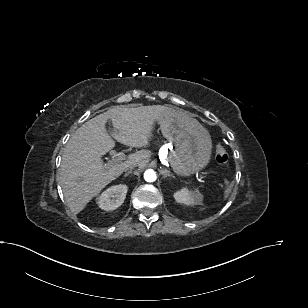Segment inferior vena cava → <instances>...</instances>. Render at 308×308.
<instances>
[{"instance_id": "1", "label": "inferior vena cava", "mask_w": 308, "mask_h": 308, "mask_svg": "<svg viewBox=\"0 0 308 308\" xmlns=\"http://www.w3.org/2000/svg\"><path fill=\"white\" fill-rule=\"evenodd\" d=\"M129 168H130V169H132V168H133V166H130Z\"/></svg>"}]
</instances>
